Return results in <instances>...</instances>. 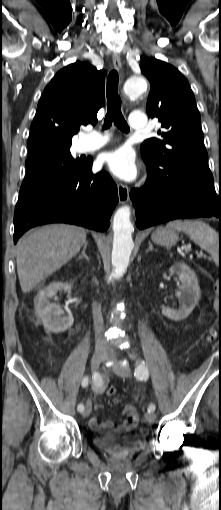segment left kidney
<instances>
[{
	"label": "left kidney",
	"instance_id": "1",
	"mask_svg": "<svg viewBox=\"0 0 221 510\" xmlns=\"http://www.w3.org/2000/svg\"><path fill=\"white\" fill-rule=\"evenodd\" d=\"M179 277L180 290L176 292L179 308L162 306V314L169 319L179 321L187 318L198 303L201 291L195 273L185 263H175L169 269Z\"/></svg>",
	"mask_w": 221,
	"mask_h": 510
}]
</instances>
